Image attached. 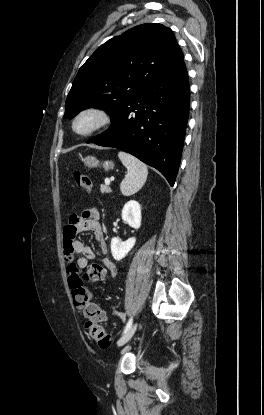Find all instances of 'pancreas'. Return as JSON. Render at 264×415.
<instances>
[{"label": "pancreas", "instance_id": "1", "mask_svg": "<svg viewBox=\"0 0 264 415\" xmlns=\"http://www.w3.org/2000/svg\"><path fill=\"white\" fill-rule=\"evenodd\" d=\"M100 191H101V193H110L111 189L107 185L102 184L100 186Z\"/></svg>", "mask_w": 264, "mask_h": 415}]
</instances>
